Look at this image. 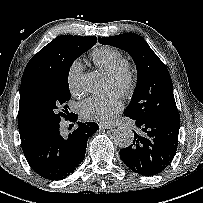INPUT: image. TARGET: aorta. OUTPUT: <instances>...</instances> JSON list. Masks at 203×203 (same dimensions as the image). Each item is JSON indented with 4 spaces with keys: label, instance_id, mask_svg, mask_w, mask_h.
<instances>
[{
    "label": "aorta",
    "instance_id": "aorta-1",
    "mask_svg": "<svg viewBox=\"0 0 203 203\" xmlns=\"http://www.w3.org/2000/svg\"><path fill=\"white\" fill-rule=\"evenodd\" d=\"M82 86L86 91L97 92L101 87L99 77L93 73H86L82 78ZM134 134L128 127H119L114 133V142L121 148L129 147L133 143Z\"/></svg>",
    "mask_w": 203,
    "mask_h": 203
}]
</instances>
